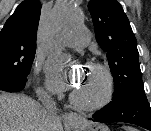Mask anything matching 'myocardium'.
I'll list each match as a JSON object with an SVG mask.
<instances>
[{"label":"myocardium","instance_id":"myocardium-1","mask_svg":"<svg viewBox=\"0 0 151 131\" xmlns=\"http://www.w3.org/2000/svg\"><path fill=\"white\" fill-rule=\"evenodd\" d=\"M87 67L89 69L98 71L102 75L104 80L103 91L98 97L92 100H84L78 97L76 94L71 93L70 101L81 110L97 111L104 108L111 102L115 91L114 78L109 68L104 64L98 62H90L88 63Z\"/></svg>","mask_w":151,"mask_h":131}]
</instances>
